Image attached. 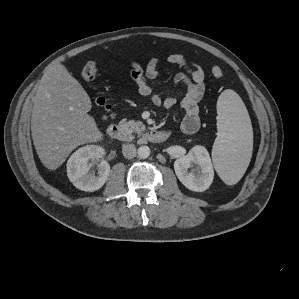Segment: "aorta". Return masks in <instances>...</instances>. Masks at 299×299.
<instances>
[{
	"label": "aorta",
	"mask_w": 299,
	"mask_h": 299,
	"mask_svg": "<svg viewBox=\"0 0 299 299\" xmlns=\"http://www.w3.org/2000/svg\"><path fill=\"white\" fill-rule=\"evenodd\" d=\"M150 148L148 146H140L137 150L138 157L141 159H146L150 156Z\"/></svg>",
	"instance_id": "obj_1"
}]
</instances>
